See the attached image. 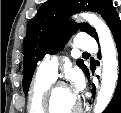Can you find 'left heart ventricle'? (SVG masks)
<instances>
[{"label": "left heart ventricle", "instance_id": "obj_1", "mask_svg": "<svg viewBox=\"0 0 121 113\" xmlns=\"http://www.w3.org/2000/svg\"><path fill=\"white\" fill-rule=\"evenodd\" d=\"M53 100H54V105L52 111L54 113L70 112L74 110L79 103L77 95L69 87L57 89L54 92Z\"/></svg>", "mask_w": 121, "mask_h": 113}]
</instances>
